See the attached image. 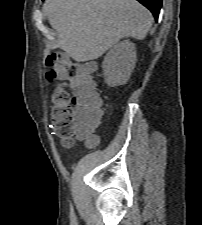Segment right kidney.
<instances>
[{"label": "right kidney", "instance_id": "1", "mask_svg": "<svg viewBox=\"0 0 202 225\" xmlns=\"http://www.w3.org/2000/svg\"><path fill=\"white\" fill-rule=\"evenodd\" d=\"M136 49L129 40L117 43L104 57L102 63L105 82L114 87L125 84L134 69Z\"/></svg>", "mask_w": 202, "mask_h": 225}]
</instances>
